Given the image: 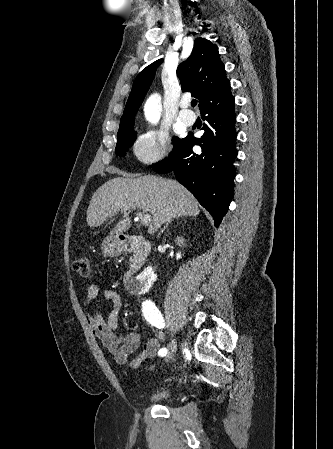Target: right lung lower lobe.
Returning a JSON list of instances; mask_svg holds the SVG:
<instances>
[{
    "mask_svg": "<svg viewBox=\"0 0 333 449\" xmlns=\"http://www.w3.org/2000/svg\"><path fill=\"white\" fill-rule=\"evenodd\" d=\"M200 112L206 120L203 136L195 138L189 134L180 139L169 158L153 170L160 174L173 172L209 211L218 227L234 193L236 115L230 88L204 103ZM194 145L200 146L202 153H194Z\"/></svg>",
    "mask_w": 333,
    "mask_h": 449,
    "instance_id": "obj_1",
    "label": "right lung lower lobe"
}]
</instances>
